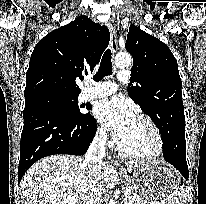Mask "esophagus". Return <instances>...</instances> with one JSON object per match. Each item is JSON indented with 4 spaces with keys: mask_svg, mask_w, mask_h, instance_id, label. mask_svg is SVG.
<instances>
[{
    "mask_svg": "<svg viewBox=\"0 0 206 204\" xmlns=\"http://www.w3.org/2000/svg\"><path fill=\"white\" fill-rule=\"evenodd\" d=\"M107 28L109 29L110 32V45H111V50L114 53H116L117 49H118V44H117V35H116V31L115 28L113 27V25L110 22L106 23Z\"/></svg>",
    "mask_w": 206,
    "mask_h": 204,
    "instance_id": "34e87169",
    "label": "esophagus"
}]
</instances>
